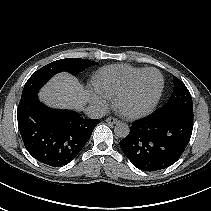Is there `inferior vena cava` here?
<instances>
[{"label": "inferior vena cava", "instance_id": "obj_1", "mask_svg": "<svg viewBox=\"0 0 211 211\" xmlns=\"http://www.w3.org/2000/svg\"><path fill=\"white\" fill-rule=\"evenodd\" d=\"M106 110L100 105H89L86 109V115L91 119H99L105 116Z\"/></svg>", "mask_w": 211, "mask_h": 211}]
</instances>
